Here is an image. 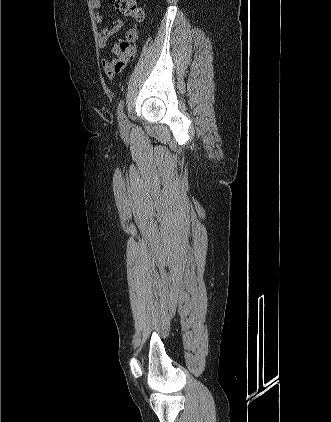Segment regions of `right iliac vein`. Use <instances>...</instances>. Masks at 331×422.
Returning <instances> with one entry per match:
<instances>
[{
	"instance_id": "obj_1",
	"label": "right iliac vein",
	"mask_w": 331,
	"mask_h": 422,
	"mask_svg": "<svg viewBox=\"0 0 331 422\" xmlns=\"http://www.w3.org/2000/svg\"><path fill=\"white\" fill-rule=\"evenodd\" d=\"M121 129H122V130H126V129H127V121H126V119H123V120H122Z\"/></svg>"
}]
</instances>
